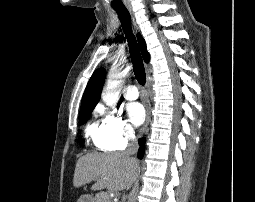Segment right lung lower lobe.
Here are the masks:
<instances>
[{
	"instance_id": "obj_1",
	"label": "right lung lower lobe",
	"mask_w": 255,
	"mask_h": 202,
	"mask_svg": "<svg viewBox=\"0 0 255 202\" xmlns=\"http://www.w3.org/2000/svg\"><path fill=\"white\" fill-rule=\"evenodd\" d=\"M144 143H145V140L143 138L139 139V144H140V148H139V151H138V158L139 159H141L144 155V150H145Z\"/></svg>"
}]
</instances>
